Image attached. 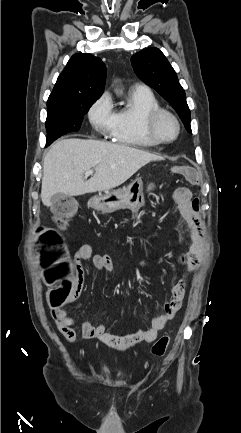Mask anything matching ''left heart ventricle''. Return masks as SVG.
Wrapping results in <instances>:
<instances>
[{"label": "left heart ventricle", "instance_id": "left-heart-ventricle-1", "mask_svg": "<svg viewBox=\"0 0 241 433\" xmlns=\"http://www.w3.org/2000/svg\"><path fill=\"white\" fill-rule=\"evenodd\" d=\"M157 132L163 139H171L175 136L176 126L169 117H162L157 125Z\"/></svg>", "mask_w": 241, "mask_h": 433}]
</instances>
